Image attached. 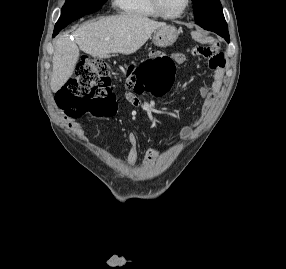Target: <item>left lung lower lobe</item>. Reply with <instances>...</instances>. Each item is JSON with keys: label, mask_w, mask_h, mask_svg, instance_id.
<instances>
[{"label": "left lung lower lobe", "mask_w": 286, "mask_h": 269, "mask_svg": "<svg viewBox=\"0 0 286 269\" xmlns=\"http://www.w3.org/2000/svg\"><path fill=\"white\" fill-rule=\"evenodd\" d=\"M217 34L220 35L221 37H223L229 43V33H228V31L227 32H219Z\"/></svg>", "instance_id": "0a47b994"}]
</instances>
